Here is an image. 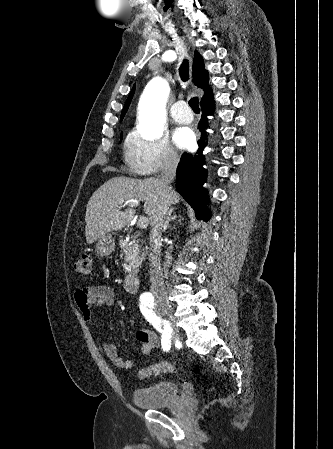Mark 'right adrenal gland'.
<instances>
[{
  "label": "right adrenal gland",
  "mask_w": 333,
  "mask_h": 449,
  "mask_svg": "<svg viewBox=\"0 0 333 449\" xmlns=\"http://www.w3.org/2000/svg\"><path fill=\"white\" fill-rule=\"evenodd\" d=\"M173 210H174V208H171V209L169 210V212H168V215H167V217H166V220H165V223H164V226H163V230H164V231L167 230V228L169 227V222H170L171 220H175V219L177 218L176 215L172 216ZM179 218H180V220H181V217H180V216H179Z\"/></svg>",
  "instance_id": "2a0ac1e0"
}]
</instances>
